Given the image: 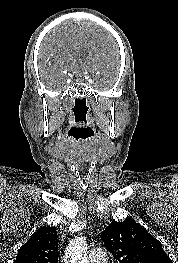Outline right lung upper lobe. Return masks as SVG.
I'll use <instances>...</instances> for the list:
<instances>
[{
	"label": "right lung upper lobe",
	"mask_w": 178,
	"mask_h": 263,
	"mask_svg": "<svg viewBox=\"0 0 178 263\" xmlns=\"http://www.w3.org/2000/svg\"><path fill=\"white\" fill-rule=\"evenodd\" d=\"M14 263H58L56 228L43 226L19 249Z\"/></svg>",
	"instance_id": "1"
}]
</instances>
